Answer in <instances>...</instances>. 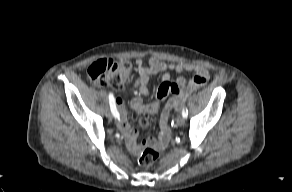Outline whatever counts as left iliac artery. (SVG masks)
<instances>
[{"mask_svg": "<svg viewBox=\"0 0 292 192\" xmlns=\"http://www.w3.org/2000/svg\"><path fill=\"white\" fill-rule=\"evenodd\" d=\"M182 116L184 117V118H187V116H188V110H187V108H183L182 109Z\"/></svg>", "mask_w": 292, "mask_h": 192, "instance_id": "left-iliac-artery-1", "label": "left iliac artery"}]
</instances>
